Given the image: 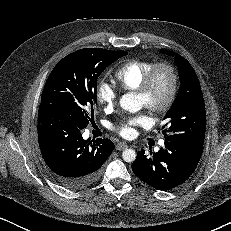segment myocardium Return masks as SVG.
I'll return each instance as SVG.
<instances>
[{"label":"myocardium","instance_id":"f54148a6","mask_svg":"<svg viewBox=\"0 0 231 231\" xmlns=\"http://www.w3.org/2000/svg\"><path fill=\"white\" fill-rule=\"evenodd\" d=\"M161 70H165L168 72L170 77V88L165 100L160 104H156L150 100V93L154 85L156 75ZM178 91H179V74L175 66L167 61H162L154 64L152 68L145 75L138 89L135 90L137 95L145 99L144 106L156 115H163L172 108L173 104L176 101Z\"/></svg>","mask_w":231,"mask_h":231}]
</instances>
